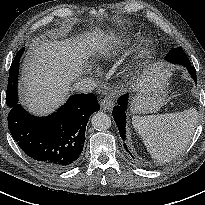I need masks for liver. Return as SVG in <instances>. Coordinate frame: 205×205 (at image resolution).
<instances>
[{
  "instance_id": "1",
  "label": "liver",
  "mask_w": 205,
  "mask_h": 205,
  "mask_svg": "<svg viewBox=\"0 0 205 205\" xmlns=\"http://www.w3.org/2000/svg\"><path fill=\"white\" fill-rule=\"evenodd\" d=\"M106 38L96 32L78 41H46L33 46L21 70V103L35 115H47L64 103L70 84L82 72L84 62L94 51L106 48ZM167 71L153 66L143 72L133 87L146 91L168 78Z\"/></svg>"
}]
</instances>
